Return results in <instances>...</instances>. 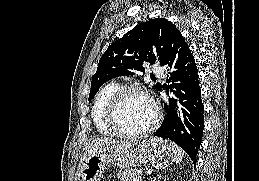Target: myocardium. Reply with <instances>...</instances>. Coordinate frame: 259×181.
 I'll return each instance as SVG.
<instances>
[{
    "label": "myocardium",
    "instance_id": "1",
    "mask_svg": "<svg viewBox=\"0 0 259 181\" xmlns=\"http://www.w3.org/2000/svg\"><path fill=\"white\" fill-rule=\"evenodd\" d=\"M132 93L140 94L147 98L155 111V116L152 122L145 128L138 131H128L122 128L118 121V114L121 104L124 98ZM106 117L107 123L117 134L128 138H138L152 132L160 123L162 114L153 96L145 87L139 85H126L119 87L118 90L112 96L107 107Z\"/></svg>",
    "mask_w": 259,
    "mask_h": 181
}]
</instances>
